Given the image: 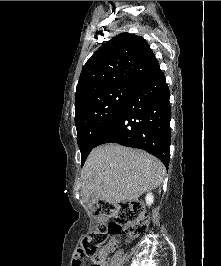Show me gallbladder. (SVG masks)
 I'll return each instance as SVG.
<instances>
[{
    "label": "gallbladder",
    "instance_id": "gallbladder-1",
    "mask_svg": "<svg viewBox=\"0 0 221 266\" xmlns=\"http://www.w3.org/2000/svg\"><path fill=\"white\" fill-rule=\"evenodd\" d=\"M100 199H101V196L97 192L93 191L86 197V202L89 205H93V204H96Z\"/></svg>",
    "mask_w": 221,
    "mask_h": 266
}]
</instances>
